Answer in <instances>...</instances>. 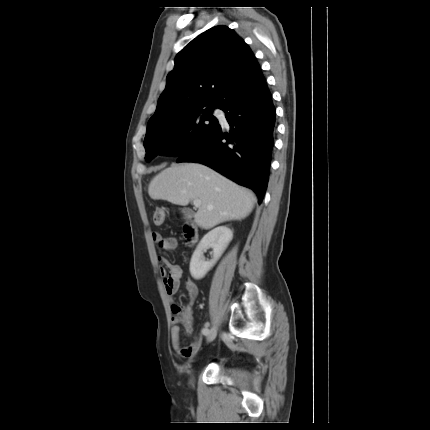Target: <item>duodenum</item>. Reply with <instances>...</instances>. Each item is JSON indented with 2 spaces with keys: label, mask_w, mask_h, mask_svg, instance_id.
I'll use <instances>...</instances> for the list:
<instances>
[{
  "label": "duodenum",
  "mask_w": 430,
  "mask_h": 430,
  "mask_svg": "<svg viewBox=\"0 0 430 430\" xmlns=\"http://www.w3.org/2000/svg\"><path fill=\"white\" fill-rule=\"evenodd\" d=\"M183 236L185 241L189 245H193L197 242L198 232L195 224L192 221L190 220L185 221L183 225Z\"/></svg>",
  "instance_id": "obj_1"
}]
</instances>
